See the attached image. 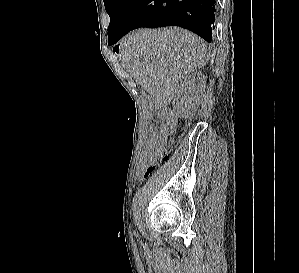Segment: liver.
Segmentation results:
<instances>
[{
    "instance_id": "6515ba94",
    "label": "liver",
    "mask_w": 299,
    "mask_h": 273,
    "mask_svg": "<svg viewBox=\"0 0 299 273\" xmlns=\"http://www.w3.org/2000/svg\"><path fill=\"white\" fill-rule=\"evenodd\" d=\"M120 55L123 67L157 109L165 108L182 79L209 60L204 41L178 27L133 31L122 39Z\"/></svg>"
}]
</instances>
